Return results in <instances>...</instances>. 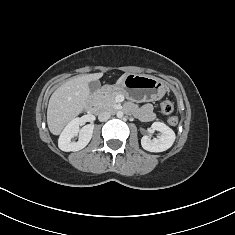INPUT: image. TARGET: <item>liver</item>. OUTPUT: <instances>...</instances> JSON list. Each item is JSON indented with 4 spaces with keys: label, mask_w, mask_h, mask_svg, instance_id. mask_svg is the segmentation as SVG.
Listing matches in <instances>:
<instances>
[{
    "label": "liver",
    "mask_w": 235,
    "mask_h": 235,
    "mask_svg": "<svg viewBox=\"0 0 235 235\" xmlns=\"http://www.w3.org/2000/svg\"><path fill=\"white\" fill-rule=\"evenodd\" d=\"M128 73L116 82L122 83ZM103 73L85 74L70 78L51 95L47 109V124L50 132L59 135L63 128L87 105L90 96L89 82L100 79Z\"/></svg>",
    "instance_id": "6515ba94"
}]
</instances>
